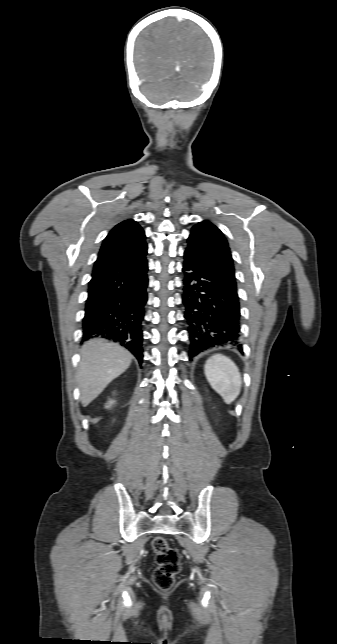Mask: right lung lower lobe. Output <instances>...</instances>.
Returning <instances> with one entry per match:
<instances>
[{
	"label": "right lung lower lobe",
	"mask_w": 337,
	"mask_h": 644,
	"mask_svg": "<svg viewBox=\"0 0 337 644\" xmlns=\"http://www.w3.org/2000/svg\"><path fill=\"white\" fill-rule=\"evenodd\" d=\"M147 270L144 257L92 276L83 319L84 340L102 337L119 342L142 363Z\"/></svg>",
	"instance_id": "obj_1"
}]
</instances>
